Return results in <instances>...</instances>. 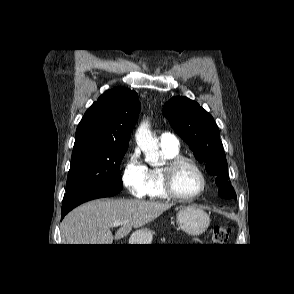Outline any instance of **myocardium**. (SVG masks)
<instances>
[{
	"mask_svg": "<svg viewBox=\"0 0 294 294\" xmlns=\"http://www.w3.org/2000/svg\"><path fill=\"white\" fill-rule=\"evenodd\" d=\"M183 165L191 166L198 173L201 179L200 189L195 194L190 196H185L180 194L174 186V178H175L176 172ZM162 175H163V188L165 192L168 194L169 197L176 200L193 201L197 199L198 197H200L204 193L207 187V178L204 171L195 160L189 157L179 155L174 158L168 159L165 165L162 167Z\"/></svg>",
	"mask_w": 294,
	"mask_h": 294,
	"instance_id": "f54148a6",
	"label": "myocardium"
}]
</instances>
